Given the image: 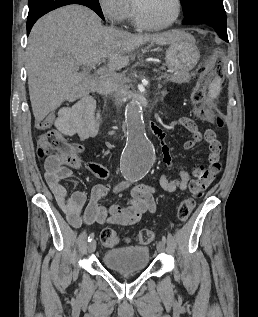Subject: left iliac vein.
<instances>
[{"instance_id":"4c4485c4","label":"left iliac vein","mask_w":258,"mask_h":317,"mask_svg":"<svg viewBox=\"0 0 258 317\" xmlns=\"http://www.w3.org/2000/svg\"><path fill=\"white\" fill-rule=\"evenodd\" d=\"M158 247H157V252L159 253L160 251H165V243H164V241H159V243H158V245H157Z\"/></svg>"}]
</instances>
